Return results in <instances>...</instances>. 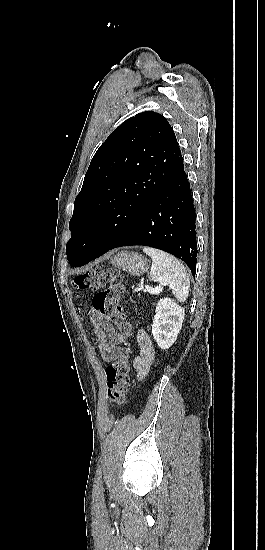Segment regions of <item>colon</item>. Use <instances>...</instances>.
<instances>
[{"label": "colon", "instance_id": "1", "mask_svg": "<svg viewBox=\"0 0 265 550\" xmlns=\"http://www.w3.org/2000/svg\"><path fill=\"white\" fill-rule=\"evenodd\" d=\"M106 284L105 290L94 295L93 308L121 330L129 331L131 325L126 321V314L120 303L124 292V278L119 272L99 267L79 274L72 280V286L79 291L98 290ZM130 371L128 349L105 370L106 398L110 404L120 406L125 402L126 394L130 388Z\"/></svg>", "mask_w": 265, "mask_h": 550}]
</instances>
